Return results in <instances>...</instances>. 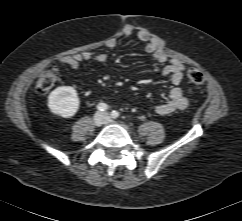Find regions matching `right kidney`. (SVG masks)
Here are the masks:
<instances>
[{"label":"right kidney","mask_w":242,"mask_h":221,"mask_svg":"<svg viewBox=\"0 0 242 221\" xmlns=\"http://www.w3.org/2000/svg\"><path fill=\"white\" fill-rule=\"evenodd\" d=\"M79 98L71 86H61L54 89L48 97L50 111L63 118H71L79 109Z\"/></svg>","instance_id":"right-kidney-1"}]
</instances>
